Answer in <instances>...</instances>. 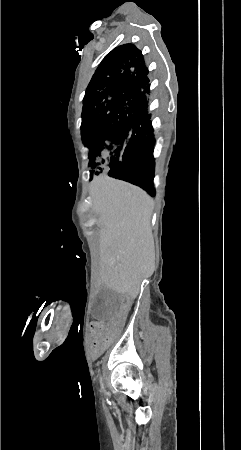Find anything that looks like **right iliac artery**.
<instances>
[{"instance_id":"1","label":"right iliac artery","mask_w":241,"mask_h":450,"mask_svg":"<svg viewBox=\"0 0 241 450\" xmlns=\"http://www.w3.org/2000/svg\"><path fill=\"white\" fill-rule=\"evenodd\" d=\"M100 384H101V388L104 390V384L102 382V377H100ZM105 391V390H104Z\"/></svg>"}]
</instances>
